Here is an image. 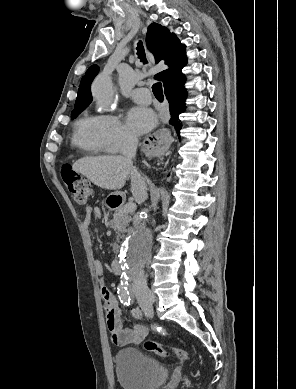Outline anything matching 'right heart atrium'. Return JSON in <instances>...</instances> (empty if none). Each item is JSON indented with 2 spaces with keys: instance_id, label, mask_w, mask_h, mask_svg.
Instances as JSON below:
<instances>
[{
  "instance_id": "right-heart-atrium-1",
  "label": "right heart atrium",
  "mask_w": 296,
  "mask_h": 389,
  "mask_svg": "<svg viewBox=\"0 0 296 389\" xmlns=\"http://www.w3.org/2000/svg\"><path fill=\"white\" fill-rule=\"evenodd\" d=\"M100 127L105 147L109 152H119L135 142V136L116 115H101Z\"/></svg>"
}]
</instances>
